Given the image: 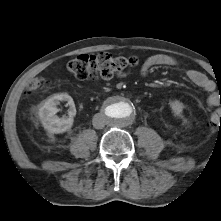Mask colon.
<instances>
[{
	"instance_id": "1",
	"label": "colon",
	"mask_w": 221,
	"mask_h": 221,
	"mask_svg": "<svg viewBox=\"0 0 221 221\" xmlns=\"http://www.w3.org/2000/svg\"><path fill=\"white\" fill-rule=\"evenodd\" d=\"M135 56H116L109 52L97 54H82L68 63V69L80 80L105 78L110 79L137 64ZM46 79H36L28 88L33 93L46 87ZM211 126L221 128V110L216 111L211 118Z\"/></svg>"
}]
</instances>
